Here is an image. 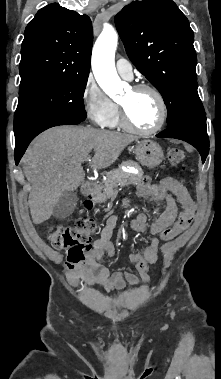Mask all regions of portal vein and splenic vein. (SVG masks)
Returning <instances> with one entry per match:
<instances>
[{"label": "portal vein and splenic vein", "instance_id": "18ae733b", "mask_svg": "<svg viewBox=\"0 0 221 379\" xmlns=\"http://www.w3.org/2000/svg\"><path fill=\"white\" fill-rule=\"evenodd\" d=\"M85 160L88 161V162L91 161L90 157H87Z\"/></svg>", "mask_w": 221, "mask_h": 379}]
</instances>
